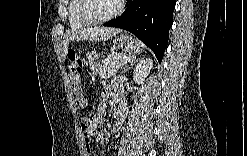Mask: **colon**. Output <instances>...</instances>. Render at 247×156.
Segmentation results:
<instances>
[{"label":"colon","mask_w":247,"mask_h":156,"mask_svg":"<svg viewBox=\"0 0 247 156\" xmlns=\"http://www.w3.org/2000/svg\"><path fill=\"white\" fill-rule=\"evenodd\" d=\"M97 112H98V107H97ZM87 120L88 121L85 122L86 126L83 127L84 135L89 139H96L100 135V130L94 127H88L94 125V121L96 120V117L88 116Z\"/></svg>","instance_id":"1"}]
</instances>
